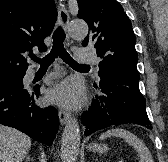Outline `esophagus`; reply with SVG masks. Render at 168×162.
Returning <instances> with one entry per match:
<instances>
[{
	"instance_id": "1",
	"label": "esophagus",
	"mask_w": 168,
	"mask_h": 162,
	"mask_svg": "<svg viewBox=\"0 0 168 162\" xmlns=\"http://www.w3.org/2000/svg\"><path fill=\"white\" fill-rule=\"evenodd\" d=\"M58 16H59L60 24L64 29H66L69 23V14L67 10L65 8L59 7ZM67 39H68V36H67ZM58 116H59L60 123L62 125H64L70 119V113L63 109H59Z\"/></svg>"
}]
</instances>
